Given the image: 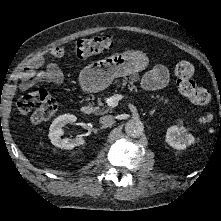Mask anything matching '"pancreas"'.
I'll list each match as a JSON object with an SVG mask.
<instances>
[{"instance_id":"1","label":"pancreas","mask_w":221,"mask_h":221,"mask_svg":"<svg viewBox=\"0 0 221 221\" xmlns=\"http://www.w3.org/2000/svg\"><path fill=\"white\" fill-rule=\"evenodd\" d=\"M139 80V76L138 75H132L129 77V80L128 78H125L123 80V87H125L127 84H128V87L130 90H133V89H136V87L133 85L134 82L138 81ZM162 99H160L161 101ZM93 112L95 115H102V114H105L108 112V110H106L104 107H103V102L101 101V98H98V106L94 107L93 108Z\"/></svg>"}]
</instances>
